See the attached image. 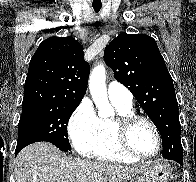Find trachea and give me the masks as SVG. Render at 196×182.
Here are the masks:
<instances>
[{
    "label": "trachea",
    "instance_id": "obj_1",
    "mask_svg": "<svg viewBox=\"0 0 196 182\" xmlns=\"http://www.w3.org/2000/svg\"><path fill=\"white\" fill-rule=\"evenodd\" d=\"M93 8H94V11H95L96 13H98V12L100 11V9H101L100 6H93Z\"/></svg>",
    "mask_w": 196,
    "mask_h": 182
}]
</instances>
